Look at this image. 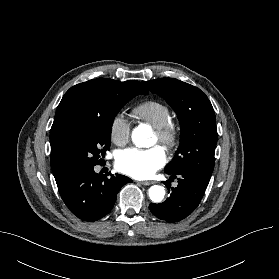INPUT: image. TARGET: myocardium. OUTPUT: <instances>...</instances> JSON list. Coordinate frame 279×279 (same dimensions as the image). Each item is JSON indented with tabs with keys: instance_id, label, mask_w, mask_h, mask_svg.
<instances>
[{
	"instance_id": "1",
	"label": "myocardium",
	"mask_w": 279,
	"mask_h": 279,
	"mask_svg": "<svg viewBox=\"0 0 279 279\" xmlns=\"http://www.w3.org/2000/svg\"><path fill=\"white\" fill-rule=\"evenodd\" d=\"M155 134L159 143L168 151L175 148L178 143L179 132L173 120H169L163 125L156 127Z\"/></svg>"
}]
</instances>
